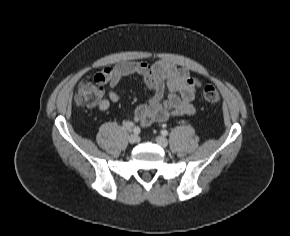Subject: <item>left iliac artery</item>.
<instances>
[{"label":"left iliac artery","instance_id":"obj_1","mask_svg":"<svg viewBox=\"0 0 290 236\" xmlns=\"http://www.w3.org/2000/svg\"><path fill=\"white\" fill-rule=\"evenodd\" d=\"M161 134H162L163 136H167V135H168V131H167V130H161Z\"/></svg>","mask_w":290,"mask_h":236}]
</instances>
